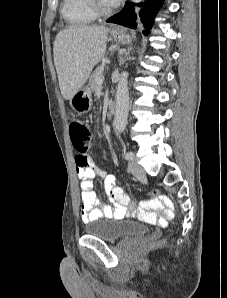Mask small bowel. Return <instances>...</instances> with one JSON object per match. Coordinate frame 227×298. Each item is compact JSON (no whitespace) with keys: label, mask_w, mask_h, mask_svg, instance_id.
<instances>
[{"label":"small bowel","mask_w":227,"mask_h":298,"mask_svg":"<svg viewBox=\"0 0 227 298\" xmlns=\"http://www.w3.org/2000/svg\"><path fill=\"white\" fill-rule=\"evenodd\" d=\"M75 168L80 181V215L83 222H90L99 218L123 219L136 214L142 219L158 222L161 225L166 224V218L159 217L155 211L156 207L149 206L146 202L139 210L133 212L130 208L129 197L119 186L117 178L100 169L87 155V150H76ZM96 177L103 179L104 191L109 196L112 205H106L97 198L93 191V180Z\"/></svg>","instance_id":"c3829d8e"}]
</instances>
